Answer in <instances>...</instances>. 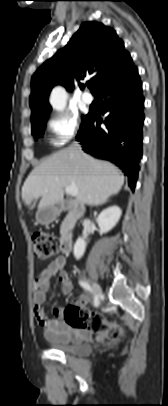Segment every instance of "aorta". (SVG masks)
Instances as JSON below:
<instances>
[{
    "mask_svg": "<svg viewBox=\"0 0 168 406\" xmlns=\"http://www.w3.org/2000/svg\"><path fill=\"white\" fill-rule=\"evenodd\" d=\"M67 93L64 88L55 87L50 95V104L56 111L62 112L66 107Z\"/></svg>",
    "mask_w": 168,
    "mask_h": 406,
    "instance_id": "obj_1",
    "label": "aorta"
}]
</instances>
